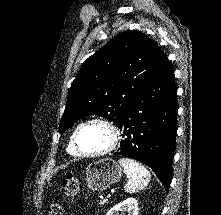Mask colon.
I'll use <instances>...</instances> for the list:
<instances>
[{
  "label": "colon",
  "instance_id": "5ec220e1",
  "mask_svg": "<svg viewBox=\"0 0 221 215\" xmlns=\"http://www.w3.org/2000/svg\"><path fill=\"white\" fill-rule=\"evenodd\" d=\"M79 191V181L78 179L72 174L69 173L65 180L63 181L62 185V192L66 197H74L77 195ZM49 215H64L63 206L60 204H51L48 209Z\"/></svg>",
  "mask_w": 221,
  "mask_h": 215
}]
</instances>
